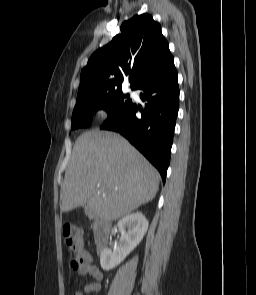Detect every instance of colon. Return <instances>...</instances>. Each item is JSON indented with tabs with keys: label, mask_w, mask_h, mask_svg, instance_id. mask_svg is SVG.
Segmentation results:
<instances>
[{
	"label": "colon",
	"mask_w": 256,
	"mask_h": 295,
	"mask_svg": "<svg viewBox=\"0 0 256 295\" xmlns=\"http://www.w3.org/2000/svg\"><path fill=\"white\" fill-rule=\"evenodd\" d=\"M63 240L66 247L71 252L70 266L73 269L91 262L90 254L83 248L80 230L72 225L67 224L63 227Z\"/></svg>",
	"instance_id": "5ec220e1"
}]
</instances>
